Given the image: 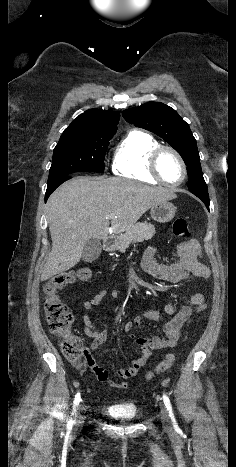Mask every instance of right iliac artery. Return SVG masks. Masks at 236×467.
Segmentation results:
<instances>
[{
	"mask_svg": "<svg viewBox=\"0 0 236 467\" xmlns=\"http://www.w3.org/2000/svg\"><path fill=\"white\" fill-rule=\"evenodd\" d=\"M80 401H81L80 393H77L76 396H75V399L73 401L72 415H74L76 413V410H77V407H78ZM68 423L69 424L73 423L72 418Z\"/></svg>",
	"mask_w": 236,
	"mask_h": 467,
	"instance_id": "right-iliac-artery-1",
	"label": "right iliac artery"
}]
</instances>
